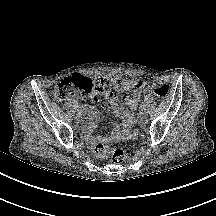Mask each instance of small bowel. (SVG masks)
Segmentation results:
<instances>
[{"label":"small bowel","mask_w":216,"mask_h":216,"mask_svg":"<svg viewBox=\"0 0 216 216\" xmlns=\"http://www.w3.org/2000/svg\"><path fill=\"white\" fill-rule=\"evenodd\" d=\"M102 78L107 82L108 86H111L114 89V91L106 88L104 92L92 95L91 99L93 101H98L101 97L105 98L112 106L114 114L122 119V128L115 125L113 131L109 134L102 137L93 136L92 132L95 128L97 114L95 110L83 107V110L86 113V118L81 124V128L86 132L87 139L92 145L129 139L135 136L136 133L133 130V125L135 124L134 111L138 107L141 95L147 93L146 88L141 86V83L137 80H121L118 75L113 73L107 74ZM124 91L129 92L125 98V104L129 109L124 107V104L121 102L119 97Z\"/></svg>","instance_id":"small-bowel-1"}]
</instances>
